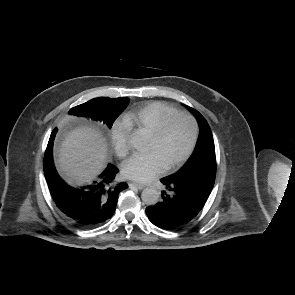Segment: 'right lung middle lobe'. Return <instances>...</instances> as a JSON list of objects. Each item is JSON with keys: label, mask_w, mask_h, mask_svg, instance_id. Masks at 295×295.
Returning a JSON list of instances; mask_svg holds the SVG:
<instances>
[{"label": "right lung middle lobe", "mask_w": 295, "mask_h": 295, "mask_svg": "<svg viewBox=\"0 0 295 295\" xmlns=\"http://www.w3.org/2000/svg\"><path fill=\"white\" fill-rule=\"evenodd\" d=\"M129 104V99L120 98H94L90 101L78 105L70 110V113L76 116H84L95 121L112 127L115 119L124 111ZM55 170L51 158L44 159V174L49 177L50 172Z\"/></svg>", "instance_id": "right-lung-middle-lobe-1"}]
</instances>
